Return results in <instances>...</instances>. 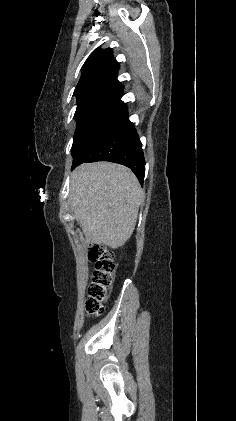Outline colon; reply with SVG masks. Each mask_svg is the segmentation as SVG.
I'll return each mask as SVG.
<instances>
[{
  "label": "colon",
  "instance_id": "1",
  "mask_svg": "<svg viewBox=\"0 0 236 421\" xmlns=\"http://www.w3.org/2000/svg\"><path fill=\"white\" fill-rule=\"evenodd\" d=\"M89 259L95 264V267L85 309L89 316H97L104 311V305L109 299L115 280L116 262L113 253L100 244L90 248Z\"/></svg>",
  "mask_w": 236,
  "mask_h": 421
}]
</instances>
